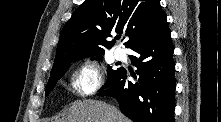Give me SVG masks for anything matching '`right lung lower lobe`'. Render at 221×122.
Masks as SVG:
<instances>
[{
    "mask_svg": "<svg viewBox=\"0 0 221 122\" xmlns=\"http://www.w3.org/2000/svg\"><path fill=\"white\" fill-rule=\"evenodd\" d=\"M131 49L137 53L130 59L137 67L138 82L127 81L121 68L99 95L116 98L121 112L134 122H174V47L167 21Z\"/></svg>",
    "mask_w": 221,
    "mask_h": 122,
    "instance_id": "obj_1",
    "label": "right lung lower lobe"
}]
</instances>
